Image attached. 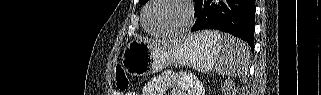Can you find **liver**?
Wrapping results in <instances>:
<instances>
[{"mask_svg":"<svg viewBox=\"0 0 321 95\" xmlns=\"http://www.w3.org/2000/svg\"><path fill=\"white\" fill-rule=\"evenodd\" d=\"M143 40L153 46H159V47L165 48V49H169V48H171L181 42V40H170L168 42H163V41L161 42V41L149 40V39H143Z\"/></svg>","mask_w":321,"mask_h":95,"instance_id":"obj_1","label":"liver"}]
</instances>
